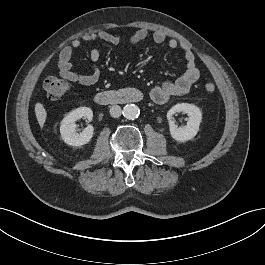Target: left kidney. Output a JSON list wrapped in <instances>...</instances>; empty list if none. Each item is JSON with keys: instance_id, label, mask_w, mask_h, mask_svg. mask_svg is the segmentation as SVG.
Segmentation results:
<instances>
[{"instance_id": "1", "label": "left kidney", "mask_w": 265, "mask_h": 265, "mask_svg": "<svg viewBox=\"0 0 265 265\" xmlns=\"http://www.w3.org/2000/svg\"><path fill=\"white\" fill-rule=\"evenodd\" d=\"M183 112L188 115V120L185 126L177 127L171 120L175 113ZM169 120L170 134L173 139L179 142H185L193 139L199 131V126L202 121L201 110L189 103H179L174 105L167 113Z\"/></svg>"}]
</instances>
